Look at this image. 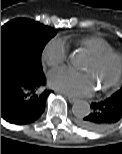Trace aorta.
<instances>
[{
    "instance_id": "1",
    "label": "aorta",
    "mask_w": 122,
    "mask_h": 154,
    "mask_svg": "<svg viewBox=\"0 0 122 154\" xmlns=\"http://www.w3.org/2000/svg\"><path fill=\"white\" fill-rule=\"evenodd\" d=\"M78 61V55L76 53H72L69 56V63L71 65H76ZM72 112L76 117H85L90 113V105L87 101L78 100L73 104Z\"/></svg>"
}]
</instances>
